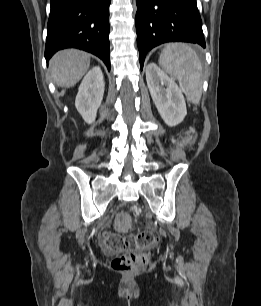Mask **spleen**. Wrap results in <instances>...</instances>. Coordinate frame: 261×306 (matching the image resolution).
I'll return each mask as SVG.
<instances>
[{"instance_id": "spleen-1", "label": "spleen", "mask_w": 261, "mask_h": 306, "mask_svg": "<svg viewBox=\"0 0 261 306\" xmlns=\"http://www.w3.org/2000/svg\"><path fill=\"white\" fill-rule=\"evenodd\" d=\"M159 64L177 79L189 101L199 104L202 95V65L196 52L184 43L168 44L161 52Z\"/></svg>"}]
</instances>
